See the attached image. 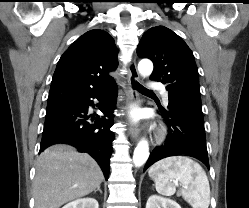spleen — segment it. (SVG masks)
<instances>
[{
  "mask_svg": "<svg viewBox=\"0 0 249 208\" xmlns=\"http://www.w3.org/2000/svg\"><path fill=\"white\" fill-rule=\"evenodd\" d=\"M148 173L154 180L158 193L165 196L173 195L176 188L172 181L177 180L183 185V198L193 208L209 207L210 186L207 175L201 165L189 157L164 158L152 165Z\"/></svg>",
  "mask_w": 249,
  "mask_h": 208,
  "instance_id": "obj_1",
  "label": "spleen"
}]
</instances>
